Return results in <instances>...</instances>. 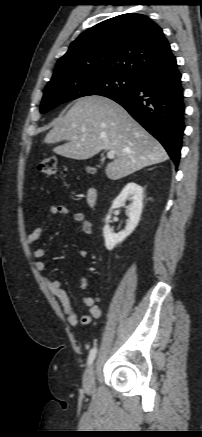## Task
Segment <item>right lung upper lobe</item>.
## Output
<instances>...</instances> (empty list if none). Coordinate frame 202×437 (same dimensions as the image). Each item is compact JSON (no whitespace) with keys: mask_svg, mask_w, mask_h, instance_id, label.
Masks as SVG:
<instances>
[{"mask_svg":"<svg viewBox=\"0 0 202 437\" xmlns=\"http://www.w3.org/2000/svg\"><path fill=\"white\" fill-rule=\"evenodd\" d=\"M162 29L149 17L127 13L103 21L73 41L55 67L65 75L121 73L134 78L174 59Z\"/></svg>","mask_w":202,"mask_h":437,"instance_id":"right-lung-upper-lobe-1","label":"right lung upper lobe"}]
</instances>
